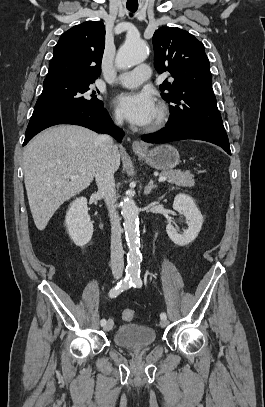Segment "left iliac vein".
I'll return each instance as SVG.
<instances>
[{
    "label": "left iliac vein",
    "instance_id": "left-iliac-vein-1",
    "mask_svg": "<svg viewBox=\"0 0 265 407\" xmlns=\"http://www.w3.org/2000/svg\"><path fill=\"white\" fill-rule=\"evenodd\" d=\"M168 325V321L166 320V319H162L161 321H160V326L161 327H166Z\"/></svg>",
    "mask_w": 265,
    "mask_h": 407
}]
</instances>
